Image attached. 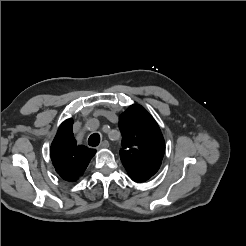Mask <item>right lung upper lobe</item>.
Instances as JSON below:
<instances>
[{
    "label": "right lung upper lobe",
    "mask_w": 246,
    "mask_h": 246,
    "mask_svg": "<svg viewBox=\"0 0 246 246\" xmlns=\"http://www.w3.org/2000/svg\"><path fill=\"white\" fill-rule=\"evenodd\" d=\"M72 119L59 127L51 144V160L59 176L68 182H76L84 173L96 150L77 145L72 131Z\"/></svg>",
    "instance_id": "1"
}]
</instances>
